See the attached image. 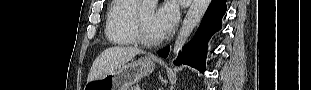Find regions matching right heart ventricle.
Instances as JSON below:
<instances>
[{"instance_id":"e07e8e85","label":"right heart ventricle","mask_w":311,"mask_h":90,"mask_svg":"<svg viewBox=\"0 0 311 90\" xmlns=\"http://www.w3.org/2000/svg\"><path fill=\"white\" fill-rule=\"evenodd\" d=\"M137 0H114L109 7L105 35L117 45H136L133 20L136 13Z\"/></svg>"}]
</instances>
